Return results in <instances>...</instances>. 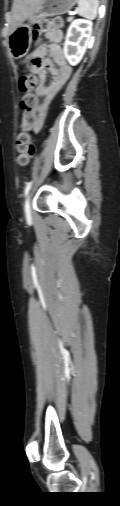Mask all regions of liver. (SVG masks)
Wrapping results in <instances>:
<instances>
[{"label": "liver", "mask_w": 120, "mask_h": 506, "mask_svg": "<svg viewBox=\"0 0 120 506\" xmlns=\"http://www.w3.org/2000/svg\"><path fill=\"white\" fill-rule=\"evenodd\" d=\"M43 0H14L12 4V16L9 19L10 33L29 17V15L41 5Z\"/></svg>", "instance_id": "1"}]
</instances>
